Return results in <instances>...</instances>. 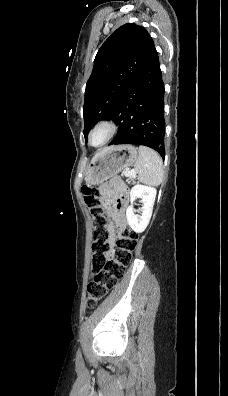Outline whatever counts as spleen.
Wrapping results in <instances>:
<instances>
[{
    "instance_id": "3e777b00",
    "label": "spleen",
    "mask_w": 228,
    "mask_h": 396,
    "mask_svg": "<svg viewBox=\"0 0 228 396\" xmlns=\"http://www.w3.org/2000/svg\"><path fill=\"white\" fill-rule=\"evenodd\" d=\"M139 157L134 165L139 182L158 186L163 181V162L159 154L148 147L139 146Z\"/></svg>"
}]
</instances>
